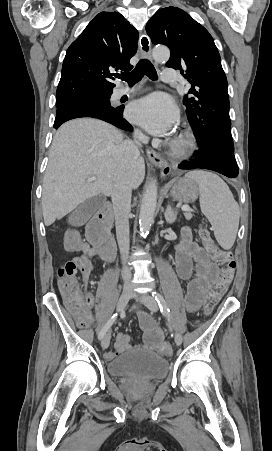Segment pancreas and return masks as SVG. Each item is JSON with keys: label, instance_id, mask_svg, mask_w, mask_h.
<instances>
[{"label": "pancreas", "instance_id": "1", "mask_svg": "<svg viewBox=\"0 0 272 451\" xmlns=\"http://www.w3.org/2000/svg\"><path fill=\"white\" fill-rule=\"evenodd\" d=\"M184 216L186 220H191V218H193V214H189V212H185Z\"/></svg>", "mask_w": 272, "mask_h": 451}]
</instances>
